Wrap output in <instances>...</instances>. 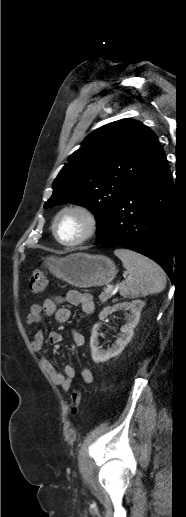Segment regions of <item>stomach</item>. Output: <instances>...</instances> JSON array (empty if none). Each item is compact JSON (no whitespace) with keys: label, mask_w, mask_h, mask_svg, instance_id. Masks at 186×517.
<instances>
[{"label":"stomach","mask_w":186,"mask_h":517,"mask_svg":"<svg viewBox=\"0 0 186 517\" xmlns=\"http://www.w3.org/2000/svg\"><path fill=\"white\" fill-rule=\"evenodd\" d=\"M45 263L55 277L79 288L108 285L117 273L110 258L82 252L63 258L50 256Z\"/></svg>","instance_id":"obj_1"}]
</instances>
